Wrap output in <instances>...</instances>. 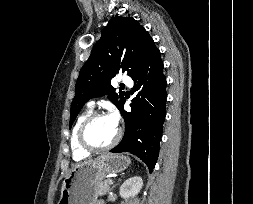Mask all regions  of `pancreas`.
I'll return each mask as SVG.
<instances>
[{"instance_id": "1", "label": "pancreas", "mask_w": 253, "mask_h": 204, "mask_svg": "<svg viewBox=\"0 0 253 204\" xmlns=\"http://www.w3.org/2000/svg\"><path fill=\"white\" fill-rule=\"evenodd\" d=\"M95 190L100 196L106 195L110 190V185L108 184V180H105L97 184Z\"/></svg>"}]
</instances>
